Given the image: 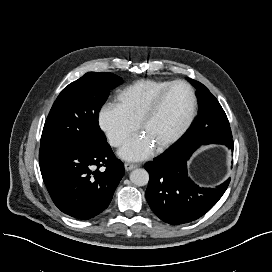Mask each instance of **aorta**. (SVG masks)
<instances>
[{
	"label": "aorta",
	"instance_id": "1",
	"mask_svg": "<svg viewBox=\"0 0 272 272\" xmlns=\"http://www.w3.org/2000/svg\"><path fill=\"white\" fill-rule=\"evenodd\" d=\"M130 180L136 186H145L149 181V174L145 169H135L130 173Z\"/></svg>",
	"mask_w": 272,
	"mask_h": 272
}]
</instances>
